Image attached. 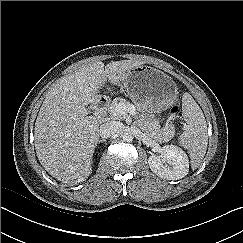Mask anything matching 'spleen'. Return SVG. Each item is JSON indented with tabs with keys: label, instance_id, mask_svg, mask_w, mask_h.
<instances>
[{
	"label": "spleen",
	"instance_id": "obj_1",
	"mask_svg": "<svg viewBox=\"0 0 243 243\" xmlns=\"http://www.w3.org/2000/svg\"><path fill=\"white\" fill-rule=\"evenodd\" d=\"M182 115L187 123L179 137L180 144L187 149L192 169H197L206 154L208 145L207 123L204 114L189 93L182 98Z\"/></svg>",
	"mask_w": 243,
	"mask_h": 243
}]
</instances>
